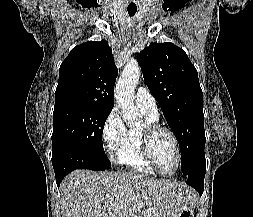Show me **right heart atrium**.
I'll use <instances>...</instances> for the list:
<instances>
[{"mask_svg": "<svg viewBox=\"0 0 253 217\" xmlns=\"http://www.w3.org/2000/svg\"><path fill=\"white\" fill-rule=\"evenodd\" d=\"M127 128L117 108L106 117L101 131L102 140L110 157L117 151L126 137Z\"/></svg>", "mask_w": 253, "mask_h": 217, "instance_id": "d8ad5b80", "label": "right heart atrium"}]
</instances>
